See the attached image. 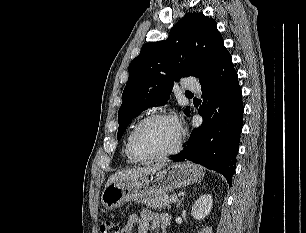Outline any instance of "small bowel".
Segmentation results:
<instances>
[{
    "label": "small bowel",
    "instance_id": "1",
    "mask_svg": "<svg viewBox=\"0 0 306 233\" xmlns=\"http://www.w3.org/2000/svg\"><path fill=\"white\" fill-rule=\"evenodd\" d=\"M169 222V215L143 209L139 214L130 216L126 226L123 228V233H132L134 228H136V233H148L150 228H164L168 226Z\"/></svg>",
    "mask_w": 306,
    "mask_h": 233
}]
</instances>
